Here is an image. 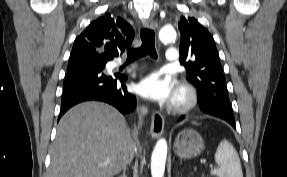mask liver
<instances>
[{"instance_id": "1", "label": "liver", "mask_w": 287, "mask_h": 177, "mask_svg": "<svg viewBox=\"0 0 287 177\" xmlns=\"http://www.w3.org/2000/svg\"><path fill=\"white\" fill-rule=\"evenodd\" d=\"M134 151L120 112L101 102L81 103L59 121L47 177H113L132 161Z\"/></svg>"}]
</instances>
